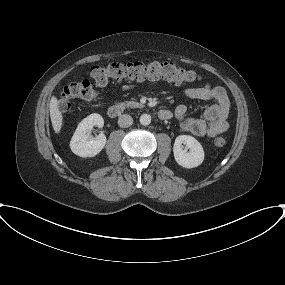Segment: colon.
Masks as SVG:
<instances>
[{"mask_svg": "<svg viewBox=\"0 0 285 285\" xmlns=\"http://www.w3.org/2000/svg\"><path fill=\"white\" fill-rule=\"evenodd\" d=\"M90 77L97 87L107 85L109 81L129 80H165L174 84L183 85L201 80V76L194 71L185 69L173 62H133L110 63L106 66H94L90 70ZM97 92L92 84L87 81H77L67 84L60 96L59 107L68 111L75 101H93ZM226 140L217 137L214 140L216 147H223Z\"/></svg>", "mask_w": 285, "mask_h": 285, "instance_id": "5ec220e1", "label": "colon"}]
</instances>
